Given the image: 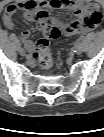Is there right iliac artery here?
Here are the masks:
<instances>
[{"label":"right iliac artery","instance_id":"right-iliac-artery-1","mask_svg":"<svg viewBox=\"0 0 104 137\" xmlns=\"http://www.w3.org/2000/svg\"><path fill=\"white\" fill-rule=\"evenodd\" d=\"M16 45L18 46V48H21V44L19 43V41H16Z\"/></svg>","mask_w":104,"mask_h":137}]
</instances>
